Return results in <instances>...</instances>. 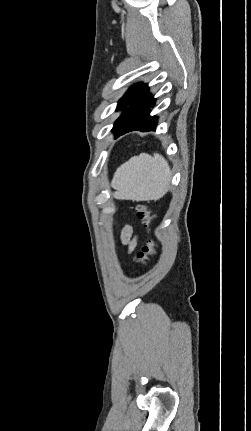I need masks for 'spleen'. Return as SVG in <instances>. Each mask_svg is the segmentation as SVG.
I'll use <instances>...</instances> for the list:
<instances>
[{"instance_id":"spleen-1","label":"spleen","mask_w":251,"mask_h":431,"mask_svg":"<svg viewBox=\"0 0 251 431\" xmlns=\"http://www.w3.org/2000/svg\"><path fill=\"white\" fill-rule=\"evenodd\" d=\"M170 179V167L161 155L141 153L117 168L111 186L116 199L158 200L166 194Z\"/></svg>"}]
</instances>
